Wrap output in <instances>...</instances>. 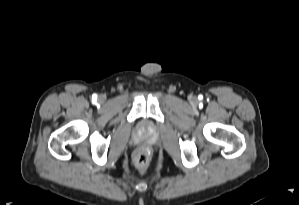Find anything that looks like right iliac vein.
<instances>
[{"instance_id": "63e3f726", "label": "right iliac vein", "mask_w": 299, "mask_h": 205, "mask_svg": "<svg viewBox=\"0 0 299 205\" xmlns=\"http://www.w3.org/2000/svg\"><path fill=\"white\" fill-rule=\"evenodd\" d=\"M99 101L103 102L104 101V96H99Z\"/></svg>"}]
</instances>
